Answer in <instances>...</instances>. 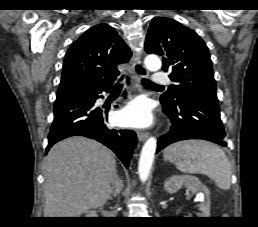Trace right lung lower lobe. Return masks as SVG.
I'll list each match as a JSON object with an SVG mask.
<instances>
[{"instance_id": "obj_1", "label": "right lung lower lobe", "mask_w": 258, "mask_h": 227, "mask_svg": "<svg viewBox=\"0 0 258 227\" xmlns=\"http://www.w3.org/2000/svg\"><path fill=\"white\" fill-rule=\"evenodd\" d=\"M111 87L112 83H83L57 96L46 152L62 139L77 135L86 136L109 147L125 167H128L136 146L135 133L108 128L102 110L94 106L95 101L102 97L99 94L103 91L109 92Z\"/></svg>"}]
</instances>
